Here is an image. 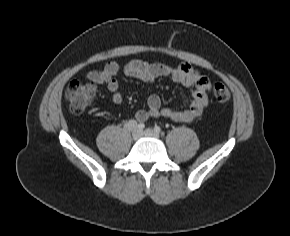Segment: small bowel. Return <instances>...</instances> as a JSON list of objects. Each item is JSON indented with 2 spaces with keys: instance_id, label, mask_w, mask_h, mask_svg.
I'll return each instance as SVG.
<instances>
[{
  "instance_id": "small-bowel-1",
  "label": "small bowel",
  "mask_w": 290,
  "mask_h": 236,
  "mask_svg": "<svg viewBox=\"0 0 290 236\" xmlns=\"http://www.w3.org/2000/svg\"><path fill=\"white\" fill-rule=\"evenodd\" d=\"M120 66L116 62H108L103 68L87 73V80L97 85H104L111 93L113 103L121 104L123 96L116 78ZM127 76L152 85L157 78L168 77L173 82L193 88L192 102L185 109L163 107L160 97L152 93L148 97V107L137 111L135 118L144 122L151 117H164L175 122L191 123L198 119L208 106V94L211 89L209 79L198 69L184 63L179 66H168L162 63H150L144 60H132L124 67Z\"/></svg>"
}]
</instances>
